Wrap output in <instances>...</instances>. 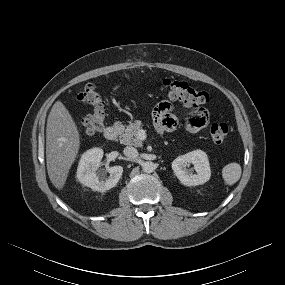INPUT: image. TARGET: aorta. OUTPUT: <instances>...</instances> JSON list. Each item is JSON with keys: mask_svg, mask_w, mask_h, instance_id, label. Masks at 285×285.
<instances>
[{"mask_svg": "<svg viewBox=\"0 0 285 285\" xmlns=\"http://www.w3.org/2000/svg\"><path fill=\"white\" fill-rule=\"evenodd\" d=\"M155 168H156L155 164L151 161H146L143 162L142 164V170L145 173H152L155 170Z\"/></svg>", "mask_w": 285, "mask_h": 285, "instance_id": "obj_1", "label": "aorta"}]
</instances>
